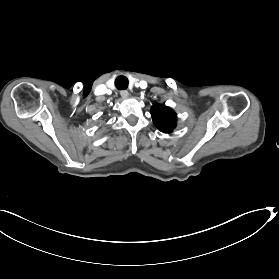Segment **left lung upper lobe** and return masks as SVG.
Masks as SVG:
<instances>
[{
	"label": "left lung upper lobe",
	"instance_id": "obj_1",
	"mask_svg": "<svg viewBox=\"0 0 279 279\" xmlns=\"http://www.w3.org/2000/svg\"><path fill=\"white\" fill-rule=\"evenodd\" d=\"M151 115L154 124L160 131L164 133L172 132L175 127L176 115L170 108L155 104L151 108Z\"/></svg>",
	"mask_w": 279,
	"mask_h": 279
}]
</instances>
